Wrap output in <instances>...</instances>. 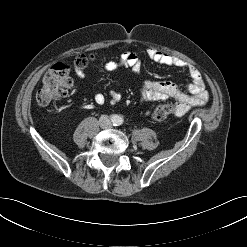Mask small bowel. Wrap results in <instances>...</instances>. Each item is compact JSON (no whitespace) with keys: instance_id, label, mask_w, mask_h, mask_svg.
I'll return each instance as SVG.
<instances>
[{"instance_id":"small-bowel-1","label":"small bowel","mask_w":247,"mask_h":247,"mask_svg":"<svg viewBox=\"0 0 247 247\" xmlns=\"http://www.w3.org/2000/svg\"><path fill=\"white\" fill-rule=\"evenodd\" d=\"M146 55L154 62L186 70L192 82L186 87V90H182L172 82L143 80L140 85V96L143 101H163L173 98L178 102L176 109V115L178 116L187 113L191 107L204 105L208 101L209 94L205 87L204 78L194 66L187 64L176 56L154 48L148 49ZM104 67L107 71L130 68L135 75H139L141 72V59L133 52H125L117 61L106 62ZM77 74L80 78L84 77L81 69H77ZM109 96L114 102H118L122 98L121 93L116 90H111ZM105 99V95L102 93L94 95V101L97 104H103Z\"/></svg>"}]
</instances>
